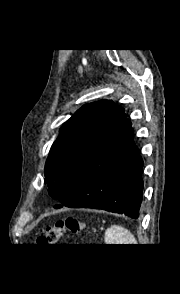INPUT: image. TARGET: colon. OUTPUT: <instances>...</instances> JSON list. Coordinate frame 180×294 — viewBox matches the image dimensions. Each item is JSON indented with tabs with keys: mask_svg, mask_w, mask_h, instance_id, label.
Wrapping results in <instances>:
<instances>
[{
	"mask_svg": "<svg viewBox=\"0 0 180 294\" xmlns=\"http://www.w3.org/2000/svg\"><path fill=\"white\" fill-rule=\"evenodd\" d=\"M85 227L86 225L78 219L68 217L48 226L38 241L43 245H56L64 234H78Z\"/></svg>",
	"mask_w": 180,
	"mask_h": 294,
	"instance_id": "5ec220e1",
	"label": "colon"
}]
</instances>
